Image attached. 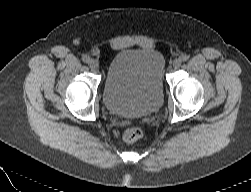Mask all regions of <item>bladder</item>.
Segmentation results:
<instances>
[{
  "mask_svg": "<svg viewBox=\"0 0 251 192\" xmlns=\"http://www.w3.org/2000/svg\"><path fill=\"white\" fill-rule=\"evenodd\" d=\"M165 60L153 49H124L112 59L103 87V102L114 115L146 116L163 102Z\"/></svg>",
  "mask_w": 251,
  "mask_h": 192,
  "instance_id": "31cf9c89",
  "label": "bladder"
}]
</instances>
